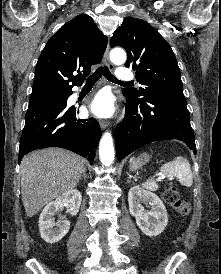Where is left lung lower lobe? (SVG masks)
<instances>
[{
  "label": "left lung lower lobe",
  "instance_id": "0a47b994",
  "mask_svg": "<svg viewBox=\"0 0 221 274\" xmlns=\"http://www.w3.org/2000/svg\"><path fill=\"white\" fill-rule=\"evenodd\" d=\"M178 139L196 153L194 133L185 100L137 101L127 98L125 118L115 137L117 158L159 140Z\"/></svg>",
  "mask_w": 221,
  "mask_h": 274
}]
</instances>
